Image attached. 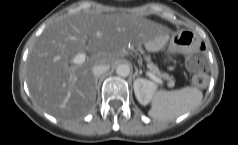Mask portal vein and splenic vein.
<instances>
[{
	"label": "portal vein and splenic vein",
	"mask_w": 238,
	"mask_h": 145,
	"mask_svg": "<svg viewBox=\"0 0 238 145\" xmlns=\"http://www.w3.org/2000/svg\"><path fill=\"white\" fill-rule=\"evenodd\" d=\"M86 60V54L84 53H79L77 54L73 59H72V63L75 64V65H80V64H83ZM147 75L154 81L158 82V83H163V81L156 77L153 73L151 72H147Z\"/></svg>",
	"instance_id": "1"
}]
</instances>
